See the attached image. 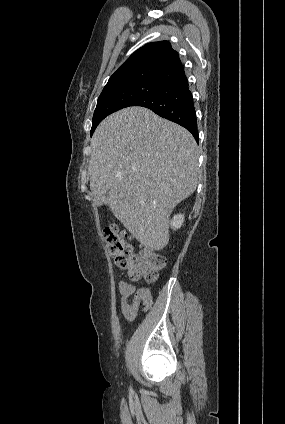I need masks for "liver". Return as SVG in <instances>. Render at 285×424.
<instances>
[{
  "label": "liver",
  "instance_id": "obj_1",
  "mask_svg": "<svg viewBox=\"0 0 285 424\" xmlns=\"http://www.w3.org/2000/svg\"><path fill=\"white\" fill-rule=\"evenodd\" d=\"M198 149L180 125L144 107L106 117L91 139L90 189L143 245L169 242V217L197 187ZM109 190V197L105 193Z\"/></svg>",
  "mask_w": 285,
  "mask_h": 424
}]
</instances>
